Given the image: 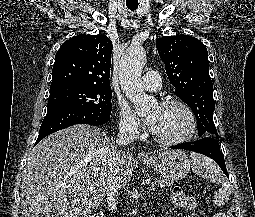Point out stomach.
<instances>
[{"instance_id":"1","label":"stomach","mask_w":255,"mask_h":217,"mask_svg":"<svg viewBox=\"0 0 255 217\" xmlns=\"http://www.w3.org/2000/svg\"><path fill=\"white\" fill-rule=\"evenodd\" d=\"M141 161L170 181L185 178L191 167L190 159L180 150L160 152L148 159L142 158Z\"/></svg>"}]
</instances>
